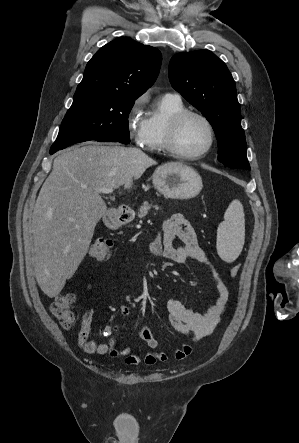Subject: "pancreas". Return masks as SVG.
<instances>
[{
	"label": "pancreas",
	"mask_w": 299,
	"mask_h": 443,
	"mask_svg": "<svg viewBox=\"0 0 299 443\" xmlns=\"http://www.w3.org/2000/svg\"><path fill=\"white\" fill-rule=\"evenodd\" d=\"M152 205L148 202H144L142 206L139 208L138 217L143 218L148 214V211L151 209ZM156 210L159 209L158 206H155Z\"/></svg>",
	"instance_id": "obj_1"
}]
</instances>
